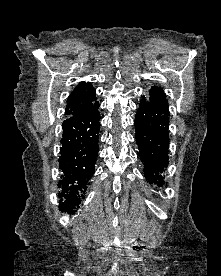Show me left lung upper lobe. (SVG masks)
I'll return each instance as SVG.
<instances>
[{
	"instance_id": "1",
	"label": "left lung upper lobe",
	"mask_w": 221,
	"mask_h": 276,
	"mask_svg": "<svg viewBox=\"0 0 221 276\" xmlns=\"http://www.w3.org/2000/svg\"><path fill=\"white\" fill-rule=\"evenodd\" d=\"M149 95L150 98L149 100L152 101L153 103L168 108V103L166 100V95L164 93V91L157 86H153L150 90H149Z\"/></svg>"
}]
</instances>
